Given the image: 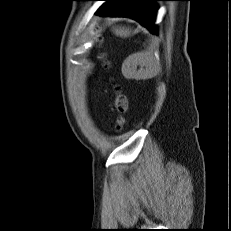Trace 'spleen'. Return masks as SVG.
Wrapping results in <instances>:
<instances>
[{"instance_id":"1","label":"spleen","mask_w":231,"mask_h":231,"mask_svg":"<svg viewBox=\"0 0 231 231\" xmlns=\"http://www.w3.org/2000/svg\"><path fill=\"white\" fill-rule=\"evenodd\" d=\"M113 32L115 33V35L120 36V37H128L131 33V31L129 29H126L124 27H115L113 28Z\"/></svg>"}]
</instances>
